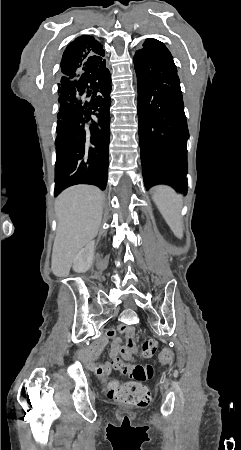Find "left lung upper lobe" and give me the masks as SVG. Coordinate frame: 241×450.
I'll return each mask as SVG.
<instances>
[{
	"label": "left lung upper lobe",
	"mask_w": 241,
	"mask_h": 450,
	"mask_svg": "<svg viewBox=\"0 0 241 450\" xmlns=\"http://www.w3.org/2000/svg\"><path fill=\"white\" fill-rule=\"evenodd\" d=\"M164 44L156 39L149 38L146 39V41L143 44V48H152L157 49L159 47H162Z\"/></svg>",
	"instance_id": "5c2ea615"
}]
</instances>
